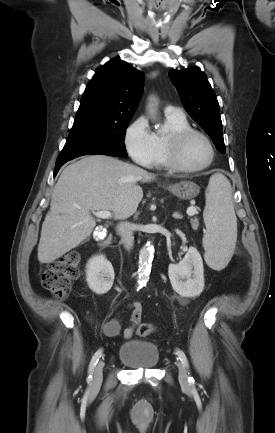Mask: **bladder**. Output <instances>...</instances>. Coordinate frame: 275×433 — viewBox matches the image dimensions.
I'll list each match as a JSON object with an SVG mask.
<instances>
[{"label":"bladder","mask_w":275,"mask_h":433,"mask_svg":"<svg viewBox=\"0 0 275 433\" xmlns=\"http://www.w3.org/2000/svg\"><path fill=\"white\" fill-rule=\"evenodd\" d=\"M120 362L136 368H152L159 360L158 347L148 341L130 339L118 350Z\"/></svg>","instance_id":"1"}]
</instances>
